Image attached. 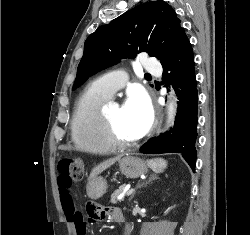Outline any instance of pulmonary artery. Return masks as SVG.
I'll return each mask as SVG.
<instances>
[{"mask_svg": "<svg viewBox=\"0 0 250 235\" xmlns=\"http://www.w3.org/2000/svg\"><path fill=\"white\" fill-rule=\"evenodd\" d=\"M143 66L149 73L158 74L161 72V69L154 58H146L143 61ZM126 81L127 76L123 72H113L99 77L92 83V85L96 90L112 97L125 85Z\"/></svg>", "mask_w": 250, "mask_h": 235, "instance_id": "e3ab8cb5", "label": "pulmonary artery"}]
</instances>
